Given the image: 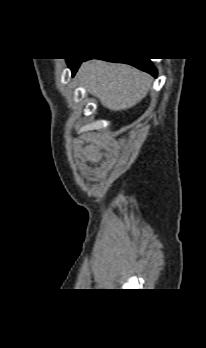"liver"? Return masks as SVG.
Returning <instances> with one entry per match:
<instances>
[{
	"instance_id": "6515ba94",
	"label": "liver",
	"mask_w": 206,
	"mask_h": 348,
	"mask_svg": "<svg viewBox=\"0 0 206 348\" xmlns=\"http://www.w3.org/2000/svg\"><path fill=\"white\" fill-rule=\"evenodd\" d=\"M77 76L88 92L112 110H126L139 103L151 88L152 78L130 65L92 60L82 63Z\"/></svg>"
}]
</instances>
